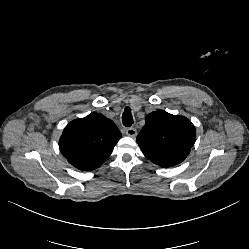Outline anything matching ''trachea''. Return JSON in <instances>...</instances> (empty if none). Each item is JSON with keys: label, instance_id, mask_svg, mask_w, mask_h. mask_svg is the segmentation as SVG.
I'll list each match as a JSON object with an SVG mask.
<instances>
[{"label": "trachea", "instance_id": "1", "mask_svg": "<svg viewBox=\"0 0 249 249\" xmlns=\"http://www.w3.org/2000/svg\"><path fill=\"white\" fill-rule=\"evenodd\" d=\"M122 121L123 125L126 127H130L133 124V118L131 114V109L129 107H126L124 110V113L122 115Z\"/></svg>", "mask_w": 249, "mask_h": 249}]
</instances>
